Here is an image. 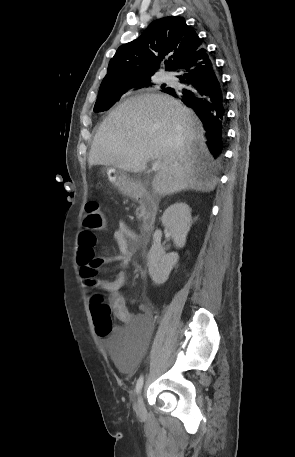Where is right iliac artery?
Here are the masks:
<instances>
[{"label":"right iliac artery","mask_w":295,"mask_h":457,"mask_svg":"<svg viewBox=\"0 0 295 457\" xmlns=\"http://www.w3.org/2000/svg\"><path fill=\"white\" fill-rule=\"evenodd\" d=\"M143 386V376H141L136 383V393H139Z\"/></svg>","instance_id":"82829eb1"}]
</instances>
